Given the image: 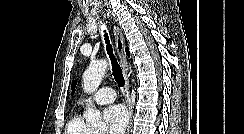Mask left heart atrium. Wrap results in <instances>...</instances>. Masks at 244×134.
Listing matches in <instances>:
<instances>
[{
	"mask_svg": "<svg viewBox=\"0 0 244 134\" xmlns=\"http://www.w3.org/2000/svg\"><path fill=\"white\" fill-rule=\"evenodd\" d=\"M104 116L107 121V134H123L128 122V114L122 105L108 107Z\"/></svg>",
	"mask_w": 244,
	"mask_h": 134,
	"instance_id": "1",
	"label": "left heart atrium"
}]
</instances>
